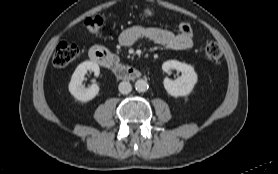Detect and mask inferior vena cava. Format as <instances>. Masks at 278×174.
Masks as SVG:
<instances>
[{
	"label": "inferior vena cava",
	"mask_w": 278,
	"mask_h": 174,
	"mask_svg": "<svg viewBox=\"0 0 278 174\" xmlns=\"http://www.w3.org/2000/svg\"><path fill=\"white\" fill-rule=\"evenodd\" d=\"M119 91L122 94H128L132 90V86L129 82L123 81L119 84Z\"/></svg>",
	"instance_id": "602c4592"
}]
</instances>
